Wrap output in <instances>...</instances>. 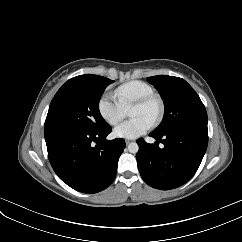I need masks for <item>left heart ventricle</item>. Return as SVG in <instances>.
Here are the masks:
<instances>
[{
  "mask_svg": "<svg viewBox=\"0 0 242 242\" xmlns=\"http://www.w3.org/2000/svg\"><path fill=\"white\" fill-rule=\"evenodd\" d=\"M157 107L155 103H151L147 106L143 107H132L130 109V116L135 117H141L148 122L152 123L155 116H156Z\"/></svg>",
  "mask_w": 242,
  "mask_h": 242,
  "instance_id": "1",
  "label": "left heart ventricle"
}]
</instances>
